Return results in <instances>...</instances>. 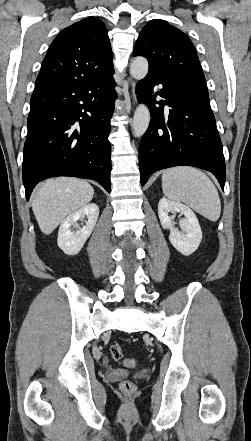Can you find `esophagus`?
<instances>
[{"label": "esophagus", "mask_w": 251, "mask_h": 441, "mask_svg": "<svg viewBox=\"0 0 251 441\" xmlns=\"http://www.w3.org/2000/svg\"><path fill=\"white\" fill-rule=\"evenodd\" d=\"M131 86H132V97H133V101H134V103H135V96H134V87H135V82H132V84H131Z\"/></svg>", "instance_id": "34e87169"}]
</instances>
